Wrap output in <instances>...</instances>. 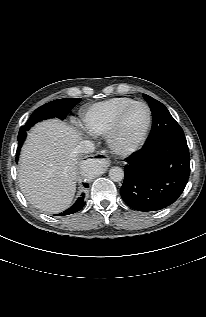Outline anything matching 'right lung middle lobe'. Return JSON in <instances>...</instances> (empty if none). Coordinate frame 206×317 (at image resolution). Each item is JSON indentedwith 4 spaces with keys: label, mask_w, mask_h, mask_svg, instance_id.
<instances>
[{
    "label": "right lung middle lobe",
    "mask_w": 206,
    "mask_h": 317,
    "mask_svg": "<svg viewBox=\"0 0 206 317\" xmlns=\"http://www.w3.org/2000/svg\"><path fill=\"white\" fill-rule=\"evenodd\" d=\"M81 100V98L73 99H58L51 101L37 108L31 115L27 123L22 126L18 134V147L21 148L25 138L26 131L29 130L35 123L48 119V118H59L65 119L69 111ZM19 155V153H16Z\"/></svg>",
    "instance_id": "dd1d6c3e"
}]
</instances>
